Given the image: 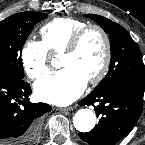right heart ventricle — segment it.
Masks as SVG:
<instances>
[{
	"instance_id": "e07e8e85",
	"label": "right heart ventricle",
	"mask_w": 145,
	"mask_h": 145,
	"mask_svg": "<svg viewBox=\"0 0 145 145\" xmlns=\"http://www.w3.org/2000/svg\"><path fill=\"white\" fill-rule=\"evenodd\" d=\"M87 22L72 17H56L40 28L42 43L48 53L60 54L76 31Z\"/></svg>"
}]
</instances>
